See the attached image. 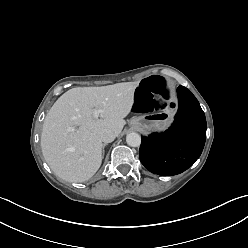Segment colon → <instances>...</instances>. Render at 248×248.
I'll return each mask as SVG.
<instances>
[{"mask_svg":"<svg viewBox=\"0 0 248 248\" xmlns=\"http://www.w3.org/2000/svg\"><path fill=\"white\" fill-rule=\"evenodd\" d=\"M177 107L178 102L173 98L169 81L160 76L143 80L135 91V100L131 103L132 110L138 113L174 111Z\"/></svg>","mask_w":248,"mask_h":248,"instance_id":"colon-1","label":"colon"}]
</instances>
